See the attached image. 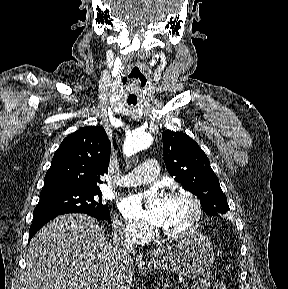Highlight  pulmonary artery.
<instances>
[{"label": "pulmonary artery", "instance_id": "obj_1", "mask_svg": "<svg viewBox=\"0 0 288 289\" xmlns=\"http://www.w3.org/2000/svg\"><path fill=\"white\" fill-rule=\"evenodd\" d=\"M159 174V166L155 159H147L129 174L118 181L120 186L130 187L151 182Z\"/></svg>", "mask_w": 288, "mask_h": 289}]
</instances>
